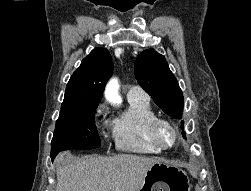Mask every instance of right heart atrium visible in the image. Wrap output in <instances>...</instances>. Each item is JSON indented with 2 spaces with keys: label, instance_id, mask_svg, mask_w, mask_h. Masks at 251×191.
<instances>
[{
  "label": "right heart atrium",
  "instance_id": "obj_1",
  "mask_svg": "<svg viewBox=\"0 0 251 191\" xmlns=\"http://www.w3.org/2000/svg\"><path fill=\"white\" fill-rule=\"evenodd\" d=\"M106 113H107L106 106L104 104H99L93 113L94 122L95 123L100 122L106 116Z\"/></svg>",
  "mask_w": 251,
  "mask_h": 191
}]
</instances>
